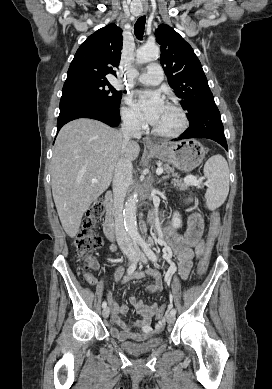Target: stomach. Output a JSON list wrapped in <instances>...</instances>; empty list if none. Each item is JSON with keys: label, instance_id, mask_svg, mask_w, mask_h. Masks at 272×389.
Instances as JSON below:
<instances>
[{"label": "stomach", "instance_id": "obj_1", "mask_svg": "<svg viewBox=\"0 0 272 389\" xmlns=\"http://www.w3.org/2000/svg\"><path fill=\"white\" fill-rule=\"evenodd\" d=\"M149 152L183 172H190L201 164L206 151L195 139L181 140L170 145H160Z\"/></svg>", "mask_w": 272, "mask_h": 389}]
</instances>
